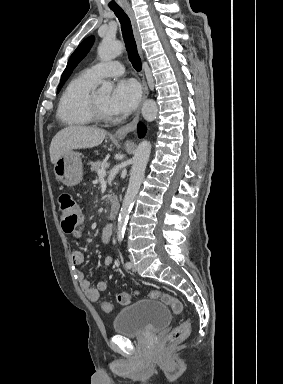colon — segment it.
I'll list each match as a JSON object with an SVG mask.
<instances>
[{
	"instance_id": "colon-1",
	"label": "colon",
	"mask_w": 283,
	"mask_h": 384,
	"mask_svg": "<svg viewBox=\"0 0 283 384\" xmlns=\"http://www.w3.org/2000/svg\"><path fill=\"white\" fill-rule=\"evenodd\" d=\"M58 205L62 229L66 233L74 232L76 227L82 221V215L76 201L70 194L63 193L59 196ZM148 297L160 300L165 305L170 307L172 312L176 315L183 312L182 302L168 293L154 289L148 293ZM131 300L132 294L130 293L122 292L117 295V301L122 305L128 304ZM101 308L106 313H110L112 311V305L107 301L101 303ZM190 328L191 325L189 321L182 322L164 338L163 345L169 347L183 341L188 336Z\"/></svg>"
}]
</instances>
